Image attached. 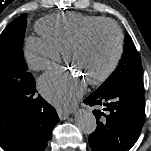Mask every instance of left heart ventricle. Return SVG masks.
I'll return each instance as SVG.
<instances>
[{
	"label": "left heart ventricle",
	"instance_id": "b2bd125f",
	"mask_svg": "<svg viewBox=\"0 0 151 151\" xmlns=\"http://www.w3.org/2000/svg\"><path fill=\"white\" fill-rule=\"evenodd\" d=\"M117 49L116 34L109 26L94 30L86 41L69 52V64L89 81L111 64Z\"/></svg>",
	"mask_w": 151,
	"mask_h": 151
}]
</instances>
